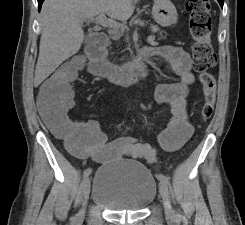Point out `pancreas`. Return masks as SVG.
Masks as SVG:
<instances>
[{
  "instance_id": "1",
  "label": "pancreas",
  "mask_w": 245,
  "mask_h": 225,
  "mask_svg": "<svg viewBox=\"0 0 245 225\" xmlns=\"http://www.w3.org/2000/svg\"><path fill=\"white\" fill-rule=\"evenodd\" d=\"M151 29H152V31L153 32H160V33H162V31H160V29H159V27L157 26V25H151Z\"/></svg>"
}]
</instances>
